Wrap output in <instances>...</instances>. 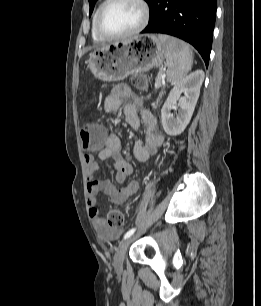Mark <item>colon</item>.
Instances as JSON below:
<instances>
[{
	"label": "colon",
	"mask_w": 261,
	"mask_h": 306,
	"mask_svg": "<svg viewBox=\"0 0 261 306\" xmlns=\"http://www.w3.org/2000/svg\"><path fill=\"white\" fill-rule=\"evenodd\" d=\"M135 83L143 85V78L137 76ZM105 132L102 126L96 123H87L80 130L83 150L87 153L95 152L100 149L104 140ZM125 214L118 209H113L108 213V225L113 228H121L125 225Z\"/></svg>",
	"instance_id": "5ec220e1"
}]
</instances>
